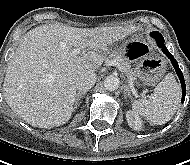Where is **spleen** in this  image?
Wrapping results in <instances>:
<instances>
[{"mask_svg": "<svg viewBox=\"0 0 190 165\" xmlns=\"http://www.w3.org/2000/svg\"><path fill=\"white\" fill-rule=\"evenodd\" d=\"M181 99V89L172 73L155 87L150 99L133 102V111L153 124L167 123L175 114Z\"/></svg>", "mask_w": 190, "mask_h": 165, "instance_id": "1", "label": "spleen"}]
</instances>
